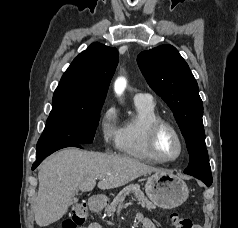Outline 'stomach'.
Masks as SVG:
<instances>
[{"label":"stomach","mask_w":238,"mask_h":228,"mask_svg":"<svg viewBox=\"0 0 238 228\" xmlns=\"http://www.w3.org/2000/svg\"><path fill=\"white\" fill-rule=\"evenodd\" d=\"M145 192L154 205L163 209H172L183 204L188 196L189 189L186 183L171 172H155L148 177ZM92 209H97L98 204L93 203Z\"/></svg>","instance_id":"stomach-1"}]
</instances>
